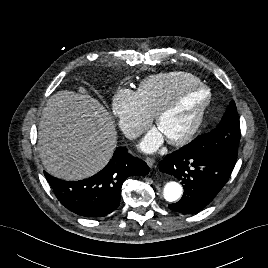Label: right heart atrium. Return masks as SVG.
Returning <instances> with one entry per match:
<instances>
[{"mask_svg": "<svg viewBox=\"0 0 268 268\" xmlns=\"http://www.w3.org/2000/svg\"><path fill=\"white\" fill-rule=\"evenodd\" d=\"M111 108L121 129L131 138L139 135L153 120L138 91L119 90L113 97Z\"/></svg>", "mask_w": 268, "mask_h": 268, "instance_id": "1", "label": "right heart atrium"}]
</instances>
